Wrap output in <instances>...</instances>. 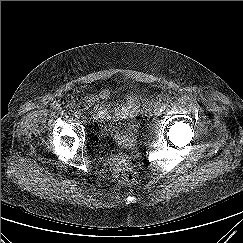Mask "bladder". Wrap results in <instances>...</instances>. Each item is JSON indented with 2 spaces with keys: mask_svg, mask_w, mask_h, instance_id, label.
<instances>
[{
  "mask_svg": "<svg viewBox=\"0 0 243 243\" xmlns=\"http://www.w3.org/2000/svg\"><path fill=\"white\" fill-rule=\"evenodd\" d=\"M104 134H105V131H104V130H101L100 133H99V136H100V137H103Z\"/></svg>",
  "mask_w": 243,
  "mask_h": 243,
  "instance_id": "obj_1",
  "label": "bladder"
}]
</instances>
